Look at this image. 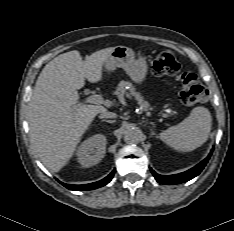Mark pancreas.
Instances as JSON below:
<instances>
[{
    "label": "pancreas",
    "instance_id": "cf45deb5",
    "mask_svg": "<svg viewBox=\"0 0 234 231\" xmlns=\"http://www.w3.org/2000/svg\"><path fill=\"white\" fill-rule=\"evenodd\" d=\"M129 88L130 92L136 97V99L138 100L139 104H141L143 106V109L144 110H147L149 108V104L144 101L142 99V97L135 92V89L133 87V85L128 82V81H121L119 84H118V87L115 91V94L118 96V97H121L122 95H124L126 93V88Z\"/></svg>",
    "mask_w": 234,
    "mask_h": 231
}]
</instances>
